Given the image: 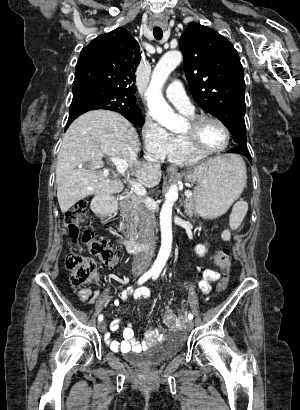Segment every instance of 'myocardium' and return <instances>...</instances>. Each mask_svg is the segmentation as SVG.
Instances as JSON below:
<instances>
[{
	"mask_svg": "<svg viewBox=\"0 0 300 410\" xmlns=\"http://www.w3.org/2000/svg\"><path fill=\"white\" fill-rule=\"evenodd\" d=\"M206 121H212V122L217 123L225 132L226 142L221 148H218L215 150H205L202 148L200 141H199V137H198V131H199L200 125ZM182 137L184 138L190 150L201 157H207V156L221 153L228 148L231 142V132H230L229 127L225 124V122L222 121L218 117H215L213 115H206V114L196 115V116L191 117L188 122V129L187 131L182 133Z\"/></svg>",
	"mask_w": 300,
	"mask_h": 410,
	"instance_id": "myocardium-1",
	"label": "myocardium"
}]
</instances>
